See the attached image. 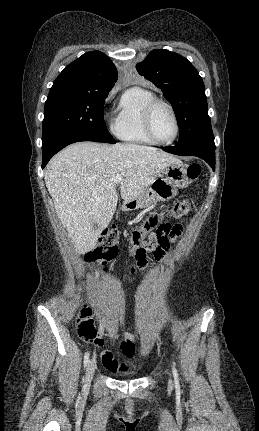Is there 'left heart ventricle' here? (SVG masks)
Instances as JSON below:
<instances>
[{"instance_id":"left-heart-ventricle-1","label":"left heart ventricle","mask_w":259,"mask_h":431,"mask_svg":"<svg viewBox=\"0 0 259 431\" xmlns=\"http://www.w3.org/2000/svg\"><path fill=\"white\" fill-rule=\"evenodd\" d=\"M152 128L155 137L160 141L170 140L175 132L173 117L163 105L158 106L153 114Z\"/></svg>"}]
</instances>
